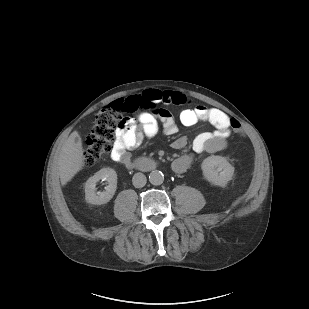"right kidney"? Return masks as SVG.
Returning a JSON list of instances; mask_svg holds the SVG:
<instances>
[{"instance_id":"obj_1","label":"right kidney","mask_w":309,"mask_h":309,"mask_svg":"<svg viewBox=\"0 0 309 309\" xmlns=\"http://www.w3.org/2000/svg\"><path fill=\"white\" fill-rule=\"evenodd\" d=\"M107 180L108 186L103 192H95L99 180ZM117 189V174L111 168H103L90 177L85 184V199L88 203L101 205L109 202Z\"/></svg>"}]
</instances>
